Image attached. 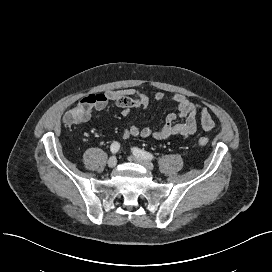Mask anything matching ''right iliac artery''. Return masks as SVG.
<instances>
[{"instance_id": "1", "label": "right iliac artery", "mask_w": 272, "mask_h": 272, "mask_svg": "<svg viewBox=\"0 0 272 272\" xmlns=\"http://www.w3.org/2000/svg\"><path fill=\"white\" fill-rule=\"evenodd\" d=\"M120 149V144L118 142H113L111 144L110 150L113 154H116Z\"/></svg>"}]
</instances>
